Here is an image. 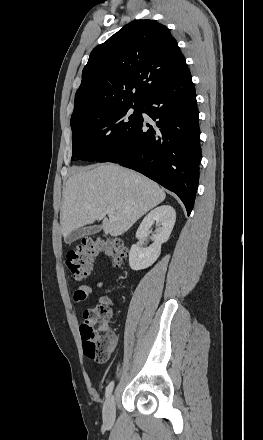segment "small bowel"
Listing matches in <instances>:
<instances>
[{
  "instance_id": "1",
  "label": "small bowel",
  "mask_w": 263,
  "mask_h": 440,
  "mask_svg": "<svg viewBox=\"0 0 263 440\" xmlns=\"http://www.w3.org/2000/svg\"><path fill=\"white\" fill-rule=\"evenodd\" d=\"M105 283L102 280L96 281L92 285L88 284H81L78 287L75 288L73 292V300L75 303H83L85 302L91 295L93 289H102L104 287ZM115 346V345H114ZM114 346L112 347L111 351L114 349Z\"/></svg>"
}]
</instances>
